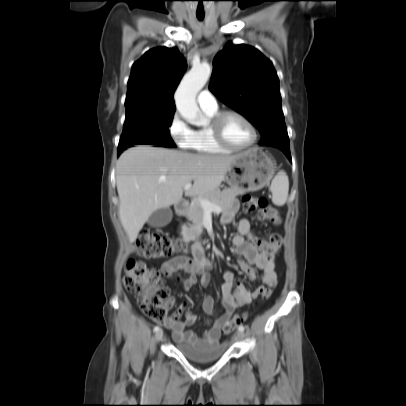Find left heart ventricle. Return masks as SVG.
Instances as JSON below:
<instances>
[{
    "instance_id": "obj_1",
    "label": "left heart ventricle",
    "mask_w": 406,
    "mask_h": 406,
    "mask_svg": "<svg viewBox=\"0 0 406 406\" xmlns=\"http://www.w3.org/2000/svg\"><path fill=\"white\" fill-rule=\"evenodd\" d=\"M225 139L234 146H245L252 139L250 128L238 117L228 116L223 123Z\"/></svg>"
}]
</instances>
